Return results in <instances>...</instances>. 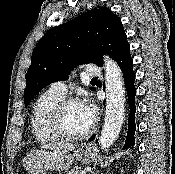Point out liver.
I'll return each instance as SVG.
<instances>
[{
  "instance_id": "obj_1",
  "label": "liver",
  "mask_w": 175,
  "mask_h": 174,
  "mask_svg": "<svg viewBox=\"0 0 175 174\" xmlns=\"http://www.w3.org/2000/svg\"><path fill=\"white\" fill-rule=\"evenodd\" d=\"M77 146L71 143H60V144H46L43 145L42 149H49V150H61V151H73L76 149Z\"/></svg>"
}]
</instances>
